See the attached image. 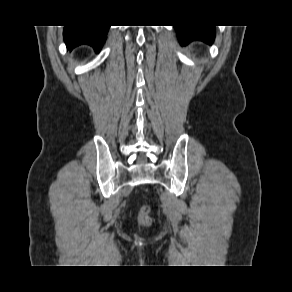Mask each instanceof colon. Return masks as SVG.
<instances>
[{"label": "colon", "instance_id": "1", "mask_svg": "<svg viewBox=\"0 0 292 292\" xmlns=\"http://www.w3.org/2000/svg\"><path fill=\"white\" fill-rule=\"evenodd\" d=\"M138 220L140 225L147 227L151 224L150 209L147 205L140 208Z\"/></svg>", "mask_w": 292, "mask_h": 292}]
</instances>
